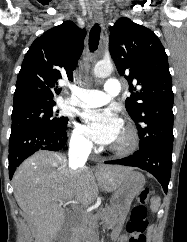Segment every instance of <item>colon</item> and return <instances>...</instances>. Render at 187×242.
Instances as JSON below:
<instances>
[{"mask_svg": "<svg viewBox=\"0 0 187 242\" xmlns=\"http://www.w3.org/2000/svg\"><path fill=\"white\" fill-rule=\"evenodd\" d=\"M149 188H144L137 194L138 204L133 208L127 224V234L119 242H146L145 231L148 227L147 204Z\"/></svg>", "mask_w": 187, "mask_h": 242, "instance_id": "5ec220e1", "label": "colon"}]
</instances>
